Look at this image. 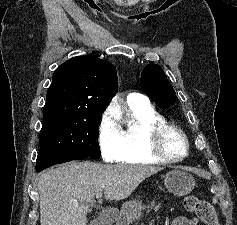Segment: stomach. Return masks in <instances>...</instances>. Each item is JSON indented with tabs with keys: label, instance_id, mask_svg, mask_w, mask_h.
Returning <instances> with one entry per match:
<instances>
[{
	"label": "stomach",
	"instance_id": "1",
	"mask_svg": "<svg viewBox=\"0 0 237 225\" xmlns=\"http://www.w3.org/2000/svg\"><path fill=\"white\" fill-rule=\"evenodd\" d=\"M164 184L169 192L176 196H184L193 190L195 180L185 171L172 170L165 176ZM142 208L139 200H130L124 203L121 214L127 222L132 223L140 217Z\"/></svg>",
	"mask_w": 237,
	"mask_h": 225
}]
</instances>
